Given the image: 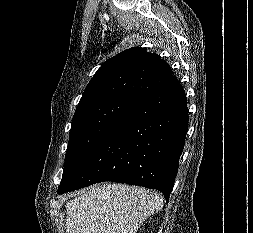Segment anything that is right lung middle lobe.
Wrapping results in <instances>:
<instances>
[{"mask_svg": "<svg viewBox=\"0 0 253 233\" xmlns=\"http://www.w3.org/2000/svg\"><path fill=\"white\" fill-rule=\"evenodd\" d=\"M135 101L129 98L114 97L76 109L65 155L62 180L112 130Z\"/></svg>", "mask_w": 253, "mask_h": 233, "instance_id": "right-lung-middle-lobe-1", "label": "right lung middle lobe"}]
</instances>
